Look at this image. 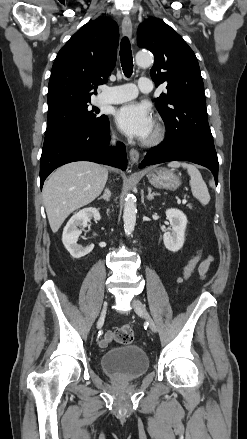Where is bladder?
I'll use <instances>...</instances> for the list:
<instances>
[{"label":"bladder","mask_w":247,"mask_h":439,"mask_svg":"<svg viewBox=\"0 0 247 439\" xmlns=\"http://www.w3.org/2000/svg\"><path fill=\"white\" fill-rule=\"evenodd\" d=\"M100 362L108 376L122 381L138 379L149 369V358L137 345L109 349L101 356Z\"/></svg>","instance_id":"1"}]
</instances>
